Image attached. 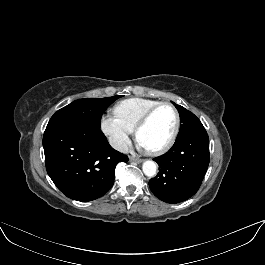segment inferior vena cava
I'll use <instances>...</instances> for the list:
<instances>
[{
    "mask_svg": "<svg viewBox=\"0 0 265 265\" xmlns=\"http://www.w3.org/2000/svg\"><path fill=\"white\" fill-rule=\"evenodd\" d=\"M109 143L110 145L120 151V152H127L128 151V146L127 143L124 140L118 139V138H114V137H110L109 138Z\"/></svg>",
    "mask_w": 265,
    "mask_h": 265,
    "instance_id": "1",
    "label": "inferior vena cava"
}]
</instances>
